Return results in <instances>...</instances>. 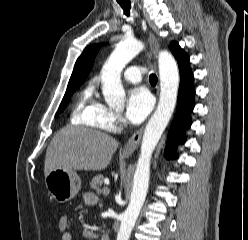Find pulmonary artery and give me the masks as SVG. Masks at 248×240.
I'll return each instance as SVG.
<instances>
[{
	"instance_id": "obj_1",
	"label": "pulmonary artery",
	"mask_w": 248,
	"mask_h": 240,
	"mask_svg": "<svg viewBox=\"0 0 248 240\" xmlns=\"http://www.w3.org/2000/svg\"><path fill=\"white\" fill-rule=\"evenodd\" d=\"M144 72L138 66L129 67L123 72V77L126 81L139 83Z\"/></svg>"
}]
</instances>
